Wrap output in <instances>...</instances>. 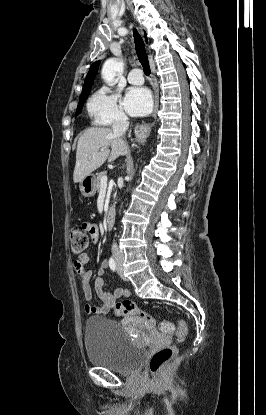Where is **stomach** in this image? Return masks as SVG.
Returning <instances> with one entry per match:
<instances>
[{
	"label": "stomach",
	"mask_w": 266,
	"mask_h": 415,
	"mask_svg": "<svg viewBox=\"0 0 266 415\" xmlns=\"http://www.w3.org/2000/svg\"><path fill=\"white\" fill-rule=\"evenodd\" d=\"M96 179L95 176L90 174L86 176L81 182H80V191L84 197H92L95 195L96 192Z\"/></svg>",
	"instance_id": "0dacf381"
}]
</instances>
